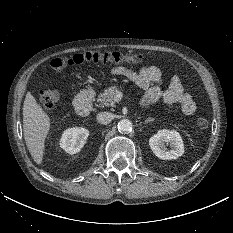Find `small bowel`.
Listing matches in <instances>:
<instances>
[{"label":"small bowel","instance_id":"obj_1","mask_svg":"<svg viewBox=\"0 0 233 233\" xmlns=\"http://www.w3.org/2000/svg\"><path fill=\"white\" fill-rule=\"evenodd\" d=\"M112 75L124 76L145 90L142 97V106H149L160 98L168 106L180 105L185 115H192L196 111V103L186 92L178 76H173L166 90L162 89V71L154 65L142 67L138 72L124 66L113 67Z\"/></svg>","mask_w":233,"mask_h":233}]
</instances>
